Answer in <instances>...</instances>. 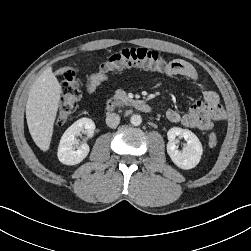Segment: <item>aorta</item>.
<instances>
[{
    "label": "aorta",
    "mask_w": 251,
    "mask_h": 251,
    "mask_svg": "<svg viewBox=\"0 0 251 251\" xmlns=\"http://www.w3.org/2000/svg\"><path fill=\"white\" fill-rule=\"evenodd\" d=\"M130 122L134 126H139L142 123V118L138 114L132 115L131 118H130Z\"/></svg>",
    "instance_id": "762f6f07"
}]
</instances>
